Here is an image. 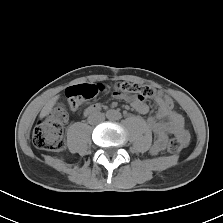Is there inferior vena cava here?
I'll return each instance as SVG.
<instances>
[{"mask_svg":"<svg viewBox=\"0 0 223 223\" xmlns=\"http://www.w3.org/2000/svg\"><path fill=\"white\" fill-rule=\"evenodd\" d=\"M105 119V116L104 114L98 112V113H94L92 116L89 117V120L90 121H93V120H97L98 122H101Z\"/></svg>","mask_w":223,"mask_h":223,"instance_id":"1","label":"inferior vena cava"}]
</instances>
